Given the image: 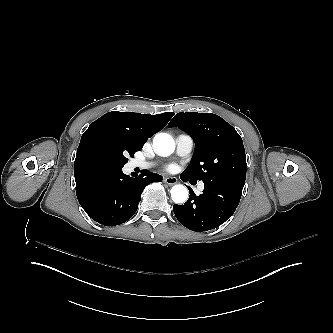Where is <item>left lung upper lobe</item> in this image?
<instances>
[{
  "label": "left lung upper lobe",
  "instance_id": "1",
  "mask_svg": "<svg viewBox=\"0 0 333 333\" xmlns=\"http://www.w3.org/2000/svg\"><path fill=\"white\" fill-rule=\"evenodd\" d=\"M174 126L187 132L196 146L182 175L204 183L218 179L245 182L247 163L243 142L224 119L212 113H178L168 125Z\"/></svg>",
  "mask_w": 333,
  "mask_h": 333
}]
</instances>
